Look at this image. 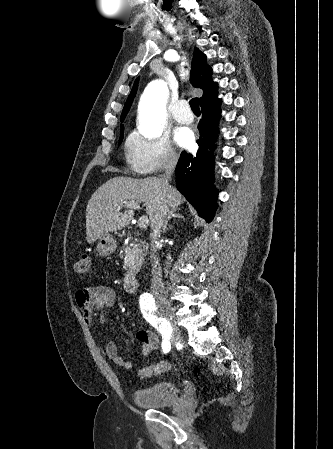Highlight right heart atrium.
<instances>
[{
    "mask_svg": "<svg viewBox=\"0 0 333 449\" xmlns=\"http://www.w3.org/2000/svg\"><path fill=\"white\" fill-rule=\"evenodd\" d=\"M126 157L134 171L142 175L172 168L178 159L166 136L146 137L140 133L129 137Z\"/></svg>",
    "mask_w": 333,
    "mask_h": 449,
    "instance_id": "obj_1",
    "label": "right heart atrium"
}]
</instances>
